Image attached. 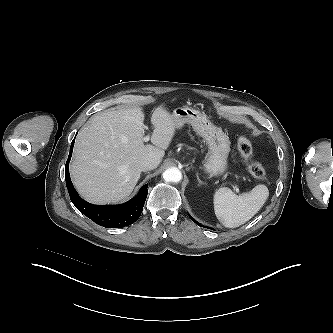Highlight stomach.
<instances>
[{"label":"stomach","instance_id":"0dacf381","mask_svg":"<svg viewBox=\"0 0 333 333\" xmlns=\"http://www.w3.org/2000/svg\"><path fill=\"white\" fill-rule=\"evenodd\" d=\"M172 115L176 127L181 128L190 124L195 132L208 145V156L203 163L205 171L210 176H220L227 170V158L230 152V140L221 128L215 126L204 113L189 107H178Z\"/></svg>","mask_w":333,"mask_h":333}]
</instances>
